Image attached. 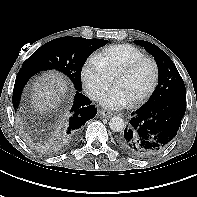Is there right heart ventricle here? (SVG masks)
I'll list each match as a JSON object with an SVG mask.
<instances>
[{
    "instance_id": "1",
    "label": "right heart ventricle",
    "mask_w": 197,
    "mask_h": 197,
    "mask_svg": "<svg viewBox=\"0 0 197 197\" xmlns=\"http://www.w3.org/2000/svg\"><path fill=\"white\" fill-rule=\"evenodd\" d=\"M144 56V52L133 45L116 44L101 50L95 58L111 77H115L120 69Z\"/></svg>"
}]
</instances>
